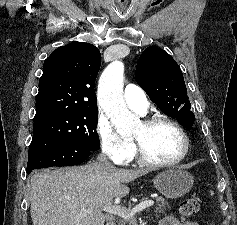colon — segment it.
Instances as JSON below:
<instances>
[{
  "label": "colon",
  "instance_id": "obj_1",
  "mask_svg": "<svg viewBox=\"0 0 237 225\" xmlns=\"http://www.w3.org/2000/svg\"><path fill=\"white\" fill-rule=\"evenodd\" d=\"M199 210L198 202L193 198H186L181 201L179 211L183 216H192ZM212 225V224H209Z\"/></svg>",
  "mask_w": 237,
  "mask_h": 225
}]
</instances>
